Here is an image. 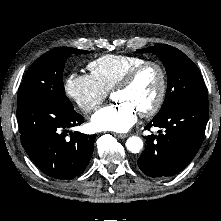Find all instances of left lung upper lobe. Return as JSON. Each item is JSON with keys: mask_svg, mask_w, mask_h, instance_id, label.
<instances>
[{"mask_svg": "<svg viewBox=\"0 0 221 221\" xmlns=\"http://www.w3.org/2000/svg\"><path fill=\"white\" fill-rule=\"evenodd\" d=\"M138 51L156 54L166 68L168 89L163 106L155 117L166 114L188 100L207 97L200 71L183 52L165 44Z\"/></svg>", "mask_w": 221, "mask_h": 221, "instance_id": "left-lung-upper-lobe-1", "label": "left lung upper lobe"}]
</instances>
